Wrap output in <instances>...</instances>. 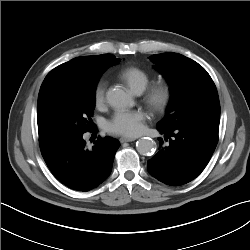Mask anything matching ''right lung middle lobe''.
<instances>
[{
	"instance_id": "right-lung-middle-lobe-1",
	"label": "right lung middle lobe",
	"mask_w": 250,
	"mask_h": 250,
	"mask_svg": "<svg viewBox=\"0 0 250 250\" xmlns=\"http://www.w3.org/2000/svg\"><path fill=\"white\" fill-rule=\"evenodd\" d=\"M100 76L64 89L38 116L39 140L75 135L91 129Z\"/></svg>"
}]
</instances>
